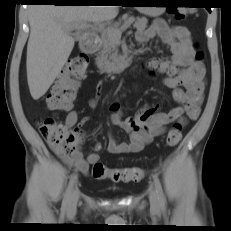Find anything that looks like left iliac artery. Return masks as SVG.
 <instances>
[{"instance_id":"obj_1","label":"left iliac artery","mask_w":231,"mask_h":231,"mask_svg":"<svg viewBox=\"0 0 231 231\" xmlns=\"http://www.w3.org/2000/svg\"><path fill=\"white\" fill-rule=\"evenodd\" d=\"M152 177H153V180H154V183H155V186H156V191H157V194H158V199H159L161 205H165V196H164L163 189H162L160 180L158 178V175L157 174H153Z\"/></svg>"}]
</instances>
